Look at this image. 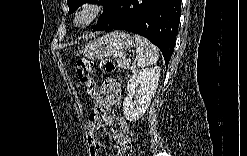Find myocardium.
<instances>
[{"instance_id":"1","label":"myocardium","mask_w":247,"mask_h":156,"mask_svg":"<svg viewBox=\"0 0 247 156\" xmlns=\"http://www.w3.org/2000/svg\"><path fill=\"white\" fill-rule=\"evenodd\" d=\"M102 9L94 3H85L74 14V23L79 27H84L96 20Z\"/></svg>"}]
</instances>
